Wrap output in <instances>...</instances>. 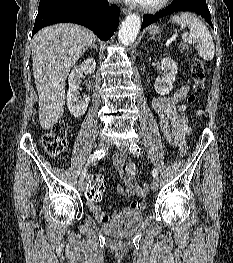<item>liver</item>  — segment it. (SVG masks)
Instances as JSON below:
<instances>
[{"instance_id":"6515ba94","label":"liver","mask_w":233,"mask_h":263,"mask_svg":"<svg viewBox=\"0 0 233 263\" xmlns=\"http://www.w3.org/2000/svg\"><path fill=\"white\" fill-rule=\"evenodd\" d=\"M93 42L95 35L92 31L71 23L45 27L34 36L32 67L43 129L51 128L62 117L66 78Z\"/></svg>"}]
</instances>
